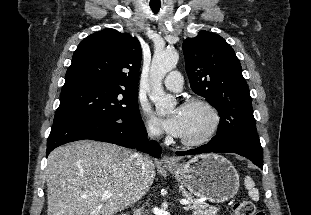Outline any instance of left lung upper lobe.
Wrapping results in <instances>:
<instances>
[{
    "mask_svg": "<svg viewBox=\"0 0 311 215\" xmlns=\"http://www.w3.org/2000/svg\"><path fill=\"white\" fill-rule=\"evenodd\" d=\"M192 90L219 112L215 139L239 131H256L249 87L232 47L218 34L200 31L183 42Z\"/></svg>",
    "mask_w": 311,
    "mask_h": 215,
    "instance_id": "1",
    "label": "left lung upper lobe"
}]
</instances>
